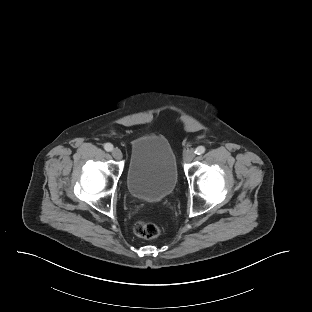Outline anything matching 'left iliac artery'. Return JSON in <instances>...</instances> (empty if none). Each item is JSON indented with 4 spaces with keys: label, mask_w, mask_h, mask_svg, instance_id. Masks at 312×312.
<instances>
[{
    "label": "left iliac artery",
    "mask_w": 312,
    "mask_h": 312,
    "mask_svg": "<svg viewBox=\"0 0 312 312\" xmlns=\"http://www.w3.org/2000/svg\"><path fill=\"white\" fill-rule=\"evenodd\" d=\"M205 147L204 146H198L197 148H196V150H195V153L197 154V155H201V154H203L204 152H205Z\"/></svg>",
    "instance_id": "left-iliac-artery-1"
}]
</instances>
